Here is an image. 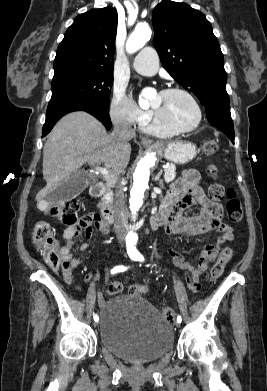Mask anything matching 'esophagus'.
Returning <instances> with one entry per match:
<instances>
[{
  "instance_id": "1",
  "label": "esophagus",
  "mask_w": 267,
  "mask_h": 391,
  "mask_svg": "<svg viewBox=\"0 0 267 391\" xmlns=\"http://www.w3.org/2000/svg\"><path fill=\"white\" fill-rule=\"evenodd\" d=\"M141 143L144 146H151L152 145V140L149 139L148 137H142Z\"/></svg>"
}]
</instances>
